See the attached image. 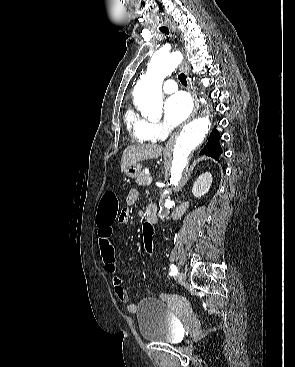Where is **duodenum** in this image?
Wrapping results in <instances>:
<instances>
[{
	"mask_svg": "<svg viewBox=\"0 0 295 367\" xmlns=\"http://www.w3.org/2000/svg\"><path fill=\"white\" fill-rule=\"evenodd\" d=\"M145 219H149L151 223L157 220V206L155 204H150L145 213Z\"/></svg>",
	"mask_w": 295,
	"mask_h": 367,
	"instance_id": "obj_1",
	"label": "duodenum"
}]
</instances>
